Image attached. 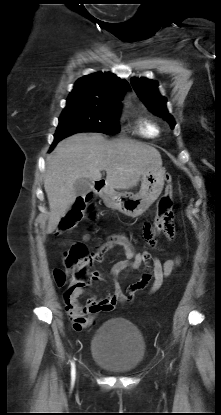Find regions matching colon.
Wrapping results in <instances>:
<instances>
[{
    "label": "colon",
    "instance_id": "obj_1",
    "mask_svg": "<svg viewBox=\"0 0 221 415\" xmlns=\"http://www.w3.org/2000/svg\"><path fill=\"white\" fill-rule=\"evenodd\" d=\"M166 188L165 194L160 199L156 218L153 222L151 236L157 235L163 228L167 227L173 220L172 200L173 193L172 177L170 174L165 176ZM90 196L80 197L61 220L56 235L60 236L71 232L81 219ZM94 257L88 248L82 244H75L64 258V267L57 268L53 271L55 283L63 286L69 276L72 277L71 284L84 286L92 279L96 278V273L90 272Z\"/></svg>",
    "mask_w": 221,
    "mask_h": 415
}]
</instances>
